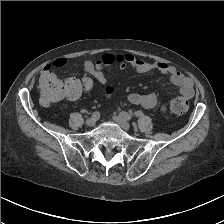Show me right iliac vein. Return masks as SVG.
I'll use <instances>...</instances> for the list:
<instances>
[{
    "label": "right iliac vein",
    "instance_id": "63e3f726",
    "mask_svg": "<svg viewBox=\"0 0 224 224\" xmlns=\"http://www.w3.org/2000/svg\"><path fill=\"white\" fill-rule=\"evenodd\" d=\"M95 120L92 119V118H89L86 120V125L89 126V127H93L95 125Z\"/></svg>",
    "mask_w": 224,
    "mask_h": 224
}]
</instances>
